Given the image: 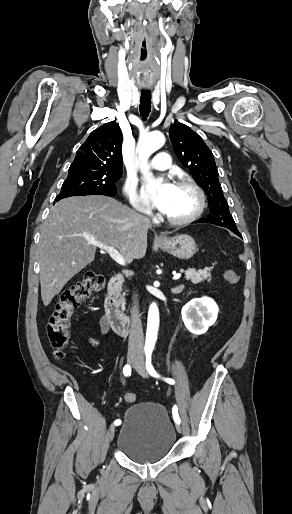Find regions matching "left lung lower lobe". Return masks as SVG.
Wrapping results in <instances>:
<instances>
[{
	"instance_id": "0a47b994",
	"label": "left lung lower lobe",
	"mask_w": 292,
	"mask_h": 514,
	"mask_svg": "<svg viewBox=\"0 0 292 514\" xmlns=\"http://www.w3.org/2000/svg\"><path fill=\"white\" fill-rule=\"evenodd\" d=\"M197 222H199V223H203V220L201 219V220H199V221H196L195 223H197ZM234 233H235L236 235H238L239 237H241V238H242V236H241L240 232H234Z\"/></svg>"
}]
</instances>
